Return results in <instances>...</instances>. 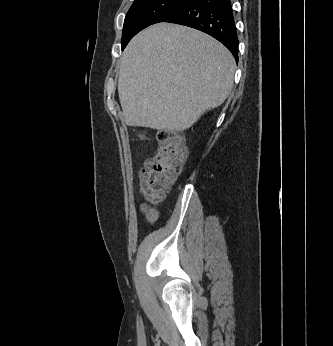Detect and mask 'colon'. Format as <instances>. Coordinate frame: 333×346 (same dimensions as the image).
<instances>
[{"label":"colon","instance_id":"5ec220e1","mask_svg":"<svg viewBox=\"0 0 333 346\" xmlns=\"http://www.w3.org/2000/svg\"><path fill=\"white\" fill-rule=\"evenodd\" d=\"M159 146L140 173V191L146 202L158 204L179 175L187 157L182 139L169 131L158 134Z\"/></svg>","mask_w":333,"mask_h":346}]
</instances>
